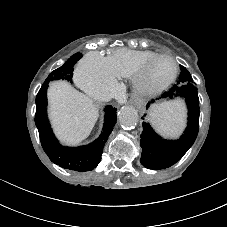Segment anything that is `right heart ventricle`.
I'll return each mask as SVG.
<instances>
[{
    "mask_svg": "<svg viewBox=\"0 0 227 227\" xmlns=\"http://www.w3.org/2000/svg\"><path fill=\"white\" fill-rule=\"evenodd\" d=\"M157 55L153 51L132 50L120 48L108 57V64L112 73L120 78H133L144 64Z\"/></svg>",
    "mask_w": 227,
    "mask_h": 227,
    "instance_id": "obj_1",
    "label": "right heart ventricle"
}]
</instances>
